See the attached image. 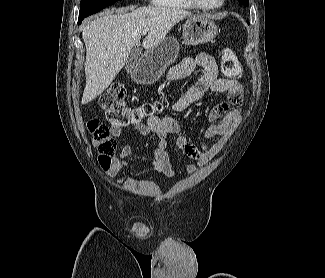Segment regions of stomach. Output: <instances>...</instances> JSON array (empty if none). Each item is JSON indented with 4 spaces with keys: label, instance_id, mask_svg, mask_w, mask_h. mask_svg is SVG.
<instances>
[{
    "label": "stomach",
    "instance_id": "1",
    "mask_svg": "<svg viewBox=\"0 0 325 278\" xmlns=\"http://www.w3.org/2000/svg\"><path fill=\"white\" fill-rule=\"evenodd\" d=\"M218 34L217 25L208 17L199 15L187 19L183 25V39L188 45L212 41ZM179 43L173 37H165L159 44L147 50L141 64L133 69V79L139 84H153L174 62L179 53Z\"/></svg>",
    "mask_w": 325,
    "mask_h": 278
}]
</instances>
